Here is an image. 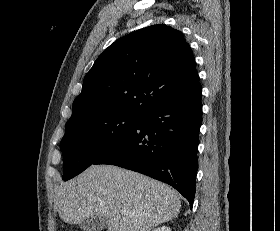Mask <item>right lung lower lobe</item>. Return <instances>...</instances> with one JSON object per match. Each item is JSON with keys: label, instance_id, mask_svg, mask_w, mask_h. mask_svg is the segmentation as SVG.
Segmentation results:
<instances>
[{"label": "right lung lower lobe", "instance_id": "right-lung-lower-lobe-1", "mask_svg": "<svg viewBox=\"0 0 280 231\" xmlns=\"http://www.w3.org/2000/svg\"><path fill=\"white\" fill-rule=\"evenodd\" d=\"M199 93L161 103L93 164L116 165L165 182L193 205L202 121Z\"/></svg>", "mask_w": 280, "mask_h": 231}]
</instances>
